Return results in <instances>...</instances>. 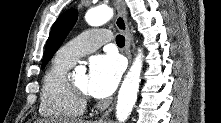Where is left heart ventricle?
Instances as JSON below:
<instances>
[{
  "instance_id": "1",
  "label": "left heart ventricle",
  "mask_w": 221,
  "mask_h": 123,
  "mask_svg": "<svg viewBox=\"0 0 221 123\" xmlns=\"http://www.w3.org/2000/svg\"><path fill=\"white\" fill-rule=\"evenodd\" d=\"M72 81L81 90L90 93V91H89V78H88L87 74H78L72 79Z\"/></svg>"
}]
</instances>
